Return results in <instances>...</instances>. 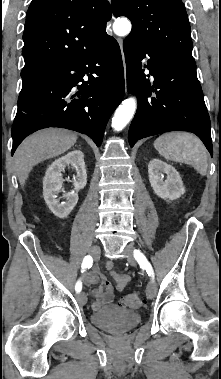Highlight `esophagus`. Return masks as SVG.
<instances>
[{"label":"esophagus","mask_w":221,"mask_h":379,"mask_svg":"<svg viewBox=\"0 0 221 379\" xmlns=\"http://www.w3.org/2000/svg\"><path fill=\"white\" fill-rule=\"evenodd\" d=\"M117 41H118L119 45L122 47V39L118 38Z\"/></svg>","instance_id":"esophagus-1"}]
</instances>
